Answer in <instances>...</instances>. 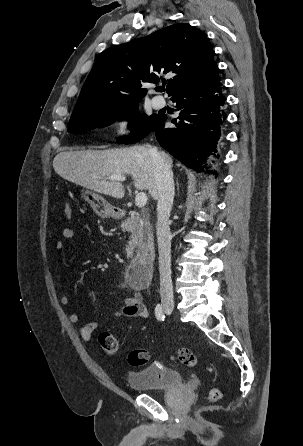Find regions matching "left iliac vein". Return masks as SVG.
<instances>
[{"mask_svg": "<svg viewBox=\"0 0 303 446\" xmlns=\"http://www.w3.org/2000/svg\"><path fill=\"white\" fill-rule=\"evenodd\" d=\"M172 310L166 309V313L169 315L171 314Z\"/></svg>", "mask_w": 303, "mask_h": 446, "instance_id": "left-iliac-vein-1", "label": "left iliac vein"}]
</instances>
